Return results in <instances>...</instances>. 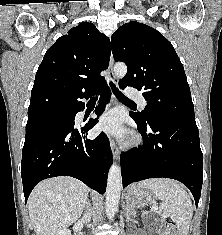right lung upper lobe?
Here are the masks:
<instances>
[{
    "label": "right lung upper lobe",
    "mask_w": 222,
    "mask_h": 235,
    "mask_svg": "<svg viewBox=\"0 0 222 235\" xmlns=\"http://www.w3.org/2000/svg\"><path fill=\"white\" fill-rule=\"evenodd\" d=\"M111 54L109 39L94 24L81 23L46 52L36 73L28 120L50 117L64 102L93 92L105 82Z\"/></svg>",
    "instance_id": "obj_1"
}]
</instances>
